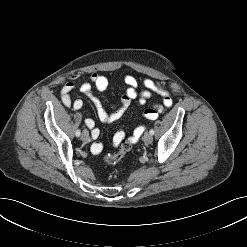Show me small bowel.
<instances>
[{"instance_id": "1", "label": "small bowel", "mask_w": 247, "mask_h": 247, "mask_svg": "<svg viewBox=\"0 0 247 247\" xmlns=\"http://www.w3.org/2000/svg\"><path fill=\"white\" fill-rule=\"evenodd\" d=\"M78 75L73 74L69 77V81L66 82L60 90V98L63 105L67 108L74 110H80L83 107V101L81 99H72L71 92L77 87L74 80L77 79ZM126 84L125 94L122 96L119 102V107L112 113H108L100 99L94 95L93 88H96L98 92H104L108 87V79L106 76L99 73H92L90 80L80 85V91L86 95L93 103L97 116L103 123H112L119 120L125 111L130 107L131 104L145 105L154 94H157L161 98L160 104H155L148 107L144 111V117L148 120H154L157 118L164 108H170L173 104L172 97L167 88L160 83L150 78L143 80L145 89L143 91L138 90V81L134 76L127 75L124 78ZM85 125L91 132V137L95 140L98 139L101 132L96 127L95 121L92 118L85 119ZM144 131L143 126H138L133 131L132 141L136 142ZM118 136L124 137L123 131H118L114 136V143L117 144ZM95 153H98L102 149V145L95 143L92 146Z\"/></svg>"}]
</instances>
